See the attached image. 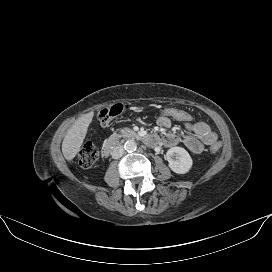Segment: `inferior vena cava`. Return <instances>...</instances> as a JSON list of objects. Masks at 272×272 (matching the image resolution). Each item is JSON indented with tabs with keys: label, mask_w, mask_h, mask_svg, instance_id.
<instances>
[{
	"label": "inferior vena cava",
	"mask_w": 272,
	"mask_h": 272,
	"mask_svg": "<svg viewBox=\"0 0 272 272\" xmlns=\"http://www.w3.org/2000/svg\"><path fill=\"white\" fill-rule=\"evenodd\" d=\"M124 148L121 145H118L116 147H114L113 151H112V158L113 159H119L120 157H122L124 155Z\"/></svg>",
	"instance_id": "1"
}]
</instances>
